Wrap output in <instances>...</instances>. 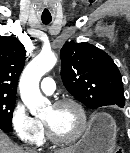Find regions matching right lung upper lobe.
Wrapping results in <instances>:
<instances>
[{
	"instance_id": "right-lung-upper-lobe-1",
	"label": "right lung upper lobe",
	"mask_w": 130,
	"mask_h": 153,
	"mask_svg": "<svg viewBox=\"0 0 130 153\" xmlns=\"http://www.w3.org/2000/svg\"><path fill=\"white\" fill-rule=\"evenodd\" d=\"M25 48L16 38L0 36V96L15 97L25 62Z\"/></svg>"
}]
</instances>
